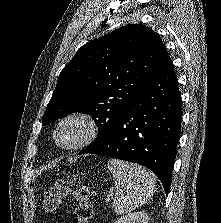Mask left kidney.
Listing matches in <instances>:
<instances>
[{"instance_id":"left-kidney-1","label":"left kidney","mask_w":221,"mask_h":223,"mask_svg":"<svg viewBox=\"0 0 221 223\" xmlns=\"http://www.w3.org/2000/svg\"><path fill=\"white\" fill-rule=\"evenodd\" d=\"M149 216L146 212H134L122 216L115 223H148Z\"/></svg>"}]
</instances>
